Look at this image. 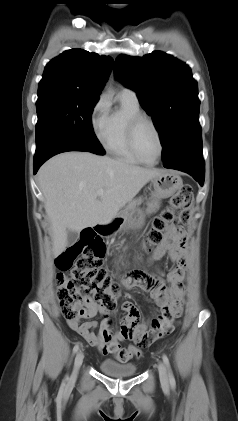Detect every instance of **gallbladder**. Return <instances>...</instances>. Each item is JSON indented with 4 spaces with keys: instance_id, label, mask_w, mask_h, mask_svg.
<instances>
[{
    "instance_id": "bac80fb5",
    "label": "gallbladder",
    "mask_w": 238,
    "mask_h": 421,
    "mask_svg": "<svg viewBox=\"0 0 238 421\" xmlns=\"http://www.w3.org/2000/svg\"><path fill=\"white\" fill-rule=\"evenodd\" d=\"M78 240V233L75 231L67 230V245L72 246Z\"/></svg>"
}]
</instances>
